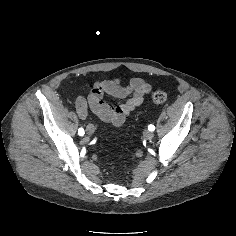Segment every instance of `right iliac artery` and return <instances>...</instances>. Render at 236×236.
Wrapping results in <instances>:
<instances>
[{"instance_id": "82829eb1", "label": "right iliac artery", "mask_w": 236, "mask_h": 236, "mask_svg": "<svg viewBox=\"0 0 236 236\" xmlns=\"http://www.w3.org/2000/svg\"><path fill=\"white\" fill-rule=\"evenodd\" d=\"M78 134H79L80 136H83V135H84V129H83V128H80V129L78 130Z\"/></svg>"}]
</instances>
